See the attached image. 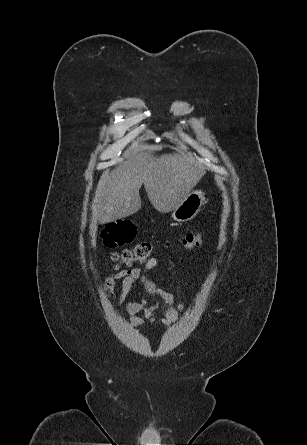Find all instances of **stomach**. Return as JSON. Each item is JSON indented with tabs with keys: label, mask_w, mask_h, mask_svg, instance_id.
<instances>
[{
	"label": "stomach",
	"mask_w": 307,
	"mask_h": 445,
	"mask_svg": "<svg viewBox=\"0 0 307 445\" xmlns=\"http://www.w3.org/2000/svg\"><path fill=\"white\" fill-rule=\"evenodd\" d=\"M205 200L203 190H191L186 198L172 210V218L176 223H187L201 210Z\"/></svg>",
	"instance_id": "obj_1"
}]
</instances>
